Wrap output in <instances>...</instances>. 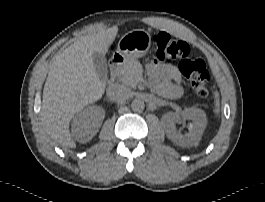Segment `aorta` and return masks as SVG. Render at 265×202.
I'll use <instances>...</instances> for the list:
<instances>
[{"label":"aorta","instance_id":"aorta-1","mask_svg":"<svg viewBox=\"0 0 265 202\" xmlns=\"http://www.w3.org/2000/svg\"><path fill=\"white\" fill-rule=\"evenodd\" d=\"M131 108L135 112H141L145 108V103L142 99L136 98L132 101Z\"/></svg>","mask_w":265,"mask_h":202}]
</instances>
